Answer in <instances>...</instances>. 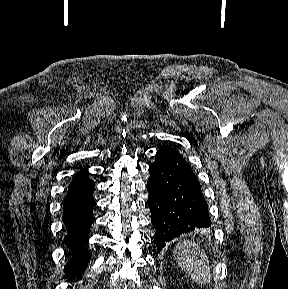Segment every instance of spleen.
Segmentation results:
<instances>
[{"mask_svg":"<svg viewBox=\"0 0 288 289\" xmlns=\"http://www.w3.org/2000/svg\"><path fill=\"white\" fill-rule=\"evenodd\" d=\"M174 257L180 268L197 284L210 282V266L208 256L194 242L184 240L176 245Z\"/></svg>","mask_w":288,"mask_h":289,"instance_id":"3e777b00","label":"spleen"}]
</instances>
